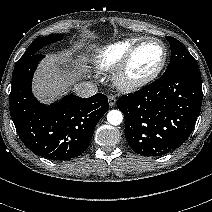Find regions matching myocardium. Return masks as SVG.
<instances>
[{
	"label": "myocardium",
	"mask_w": 212,
	"mask_h": 212,
	"mask_svg": "<svg viewBox=\"0 0 212 212\" xmlns=\"http://www.w3.org/2000/svg\"><path fill=\"white\" fill-rule=\"evenodd\" d=\"M148 43H157L163 49V57L159 63V65L150 73L138 77L133 78L129 76V68L132 63V60L138 50L148 44ZM168 59V49L166 45L157 38H146L139 40L136 44H134L130 50L126 53L120 64L118 65L115 73H114V83L118 89L125 92H133L152 83L162 72L164 69L166 62Z\"/></svg>",
	"instance_id": "f54148a6"
}]
</instances>
